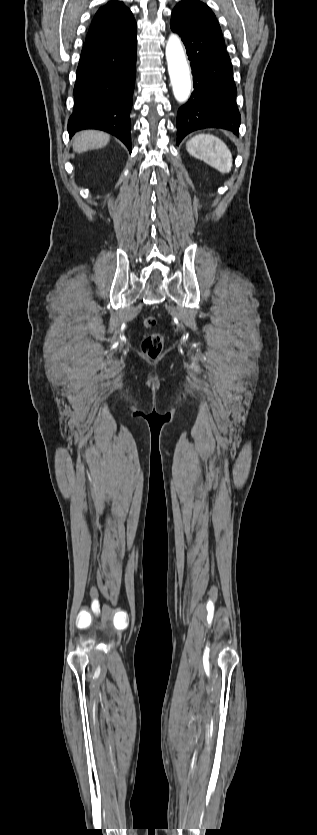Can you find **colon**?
I'll use <instances>...</instances> for the list:
<instances>
[{"label":"colon","mask_w":317,"mask_h":835,"mask_svg":"<svg viewBox=\"0 0 317 835\" xmlns=\"http://www.w3.org/2000/svg\"><path fill=\"white\" fill-rule=\"evenodd\" d=\"M157 324V320L153 316H147L143 319V325L146 328L154 327ZM164 345V337L160 333H153L146 336L142 342V351L143 353L151 358L157 357Z\"/></svg>","instance_id":"colon-1"}]
</instances>
